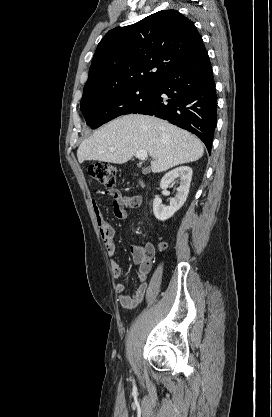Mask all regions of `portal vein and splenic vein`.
<instances>
[{
	"instance_id": "obj_1",
	"label": "portal vein and splenic vein",
	"mask_w": 272,
	"mask_h": 417,
	"mask_svg": "<svg viewBox=\"0 0 272 417\" xmlns=\"http://www.w3.org/2000/svg\"><path fill=\"white\" fill-rule=\"evenodd\" d=\"M111 151H114V149H110ZM136 157L140 159L141 161H144L147 158V151L146 150H140L136 153Z\"/></svg>"
}]
</instances>
